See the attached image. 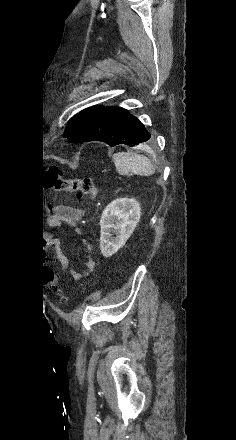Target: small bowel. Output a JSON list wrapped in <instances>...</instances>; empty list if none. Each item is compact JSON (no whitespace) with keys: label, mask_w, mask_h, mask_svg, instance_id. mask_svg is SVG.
Returning a JSON list of instances; mask_svg holds the SVG:
<instances>
[{"label":"small bowel","mask_w":236,"mask_h":440,"mask_svg":"<svg viewBox=\"0 0 236 440\" xmlns=\"http://www.w3.org/2000/svg\"><path fill=\"white\" fill-rule=\"evenodd\" d=\"M83 216V210L79 208H74L70 206H60L57 208L56 213L51 217L49 223L53 227H61L62 224H67L71 227H73L77 234H80V230L77 227L78 222ZM58 245V242H56ZM85 247V253H86V260L84 264L83 270H71L72 278L75 281H79L84 277H87L91 275L95 269V261L90 255L91 252V246L89 243L84 242ZM59 261L61 263V268L63 271H65L68 267V259L63 254H59Z\"/></svg>","instance_id":"c3829d8e"}]
</instances>
